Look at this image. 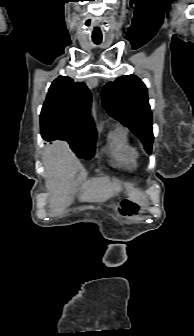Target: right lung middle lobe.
Masks as SVG:
<instances>
[{
  "label": "right lung middle lobe",
  "mask_w": 194,
  "mask_h": 336,
  "mask_svg": "<svg viewBox=\"0 0 194 336\" xmlns=\"http://www.w3.org/2000/svg\"><path fill=\"white\" fill-rule=\"evenodd\" d=\"M61 140L67 141L70 148L80 158L89 159L94 154L95 137L68 136Z\"/></svg>",
  "instance_id": "right-lung-middle-lobe-1"
}]
</instances>
